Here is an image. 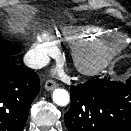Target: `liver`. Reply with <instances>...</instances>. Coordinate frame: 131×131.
<instances>
[{
    "label": "liver",
    "mask_w": 131,
    "mask_h": 131,
    "mask_svg": "<svg viewBox=\"0 0 131 131\" xmlns=\"http://www.w3.org/2000/svg\"><path fill=\"white\" fill-rule=\"evenodd\" d=\"M26 26V20L15 21L14 23H12L13 29H16L18 31H23Z\"/></svg>",
    "instance_id": "obj_1"
}]
</instances>
